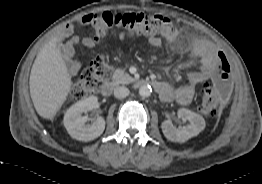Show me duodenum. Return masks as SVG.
Returning <instances> with one entry per match:
<instances>
[{
  "mask_svg": "<svg viewBox=\"0 0 262 184\" xmlns=\"http://www.w3.org/2000/svg\"><path fill=\"white\" fill-rule=\"evenodd\" d=\"M138 86H146L149 85L155 89H157L159 87V82L155 81V80H140L137 83ZM114 89V82L113 81H108L106 83L103 84L102 88H101V93L103 96H110L112 91Z\"/></svg>",
  "mask_w": 262,
  "mask_h": 184,
  "instance_id": "obj_1",
  "label": "duodenum"
}]
</instances>
